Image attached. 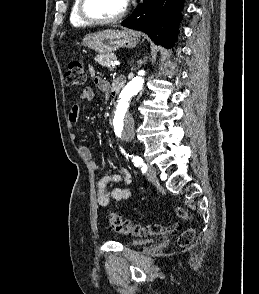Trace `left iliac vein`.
Listing matches in <instances>:
<instances>
[{
  "mask_svg": "<svg viewBox=\"0 0 259 294\" xmlns=\"http://www.w3.org/2000/svg\"><path fill=\"white\" fill-rule=\"evenodd\" d=\"M146 176L151 181L156 179V169L153 165L147 164Z\"/></svg>",
  "mask_w": 259,
  "mask_h": 294,
  "instance_id": "1",
  "label": "left iliac vein"
}]
</instances>
